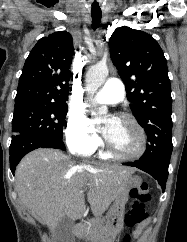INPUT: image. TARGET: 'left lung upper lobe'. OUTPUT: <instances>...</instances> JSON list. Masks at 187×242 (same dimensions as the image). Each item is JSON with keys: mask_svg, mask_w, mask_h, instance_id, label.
<instances>
[{"mask_svg": "<svg viewBox=\"0 0 187 242\" xmlns=\"http://www.w3.org/2000/svg\"><path fill=\"white\" fill-rule=\"evenodd\" d=\"M109 47L130 108L147 134V148L140 159L170 158L172 98L162 49L151 35L125 26L114 31Z\"/></svg>", "mask_w": 187, "mask_h": 242, "instance_id": "5c2ea615", "label": "left lung upper lobe"}]
</instances>
